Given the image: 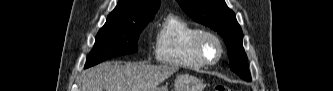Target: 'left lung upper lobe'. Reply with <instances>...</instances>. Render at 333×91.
Wrapping results in <instances>:
<instances>
[{"mask_svg":"<svg viewBox=\"0 0 333 91\" xmlns=\"http://www.w3.org/2000/svg\"><path fill=\"white\" fill-rule=\"evenodd\" d=\"M184 12L194 21L217 31L228 48L230 68L242 79L249 81L247 56L244 52L243 33L234 12L224 0H177Z\"/></svg>","mask_w":333,"mask_h":91,"instance_id":"1","label":"left lung upper lobe"}]
</instances>
